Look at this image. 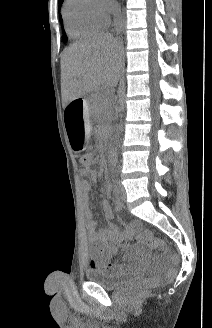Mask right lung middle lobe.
Here are the masks:
<instances>
[{
    "instance_id": "dd1d6c3e",
    "label": "right lung middle lobe",
    "mask_w": 212,
    "mask_h": 328,
    "mask_svg": "<svg viewBox=\"0 0 212 328\" xmlns=\"http://www.w3.org/2000/svg\"><path fill=\"white\" fill-rule=\"evenodd\" d=\"M63 2V0H60L59 1V4H61ZM61 18V17H60ZM63 40H64V42H66L67 41V36H66V34H64V36H63Z\"/></svg>"
}]
</instances>
